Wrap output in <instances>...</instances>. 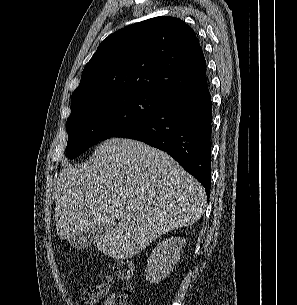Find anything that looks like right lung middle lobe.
<instances>
[{"instance_id": "1", "label": "right lung middle lobe", "mask_w": 297, "mask_h": 305, "mask_svg": "<svg viewBox=\"0 0 297 305\" xmlns=\"http://www.w3.org/2000/svg\"><path fill=\"white\" fill-rule=\"evenodd\" d=\"M166 100L167 98L152 93H123L99 99L71 111L67 119V156L70 159L76 158L99 141L111 138L139 123Z\"/></svg>"}]
</instances>
